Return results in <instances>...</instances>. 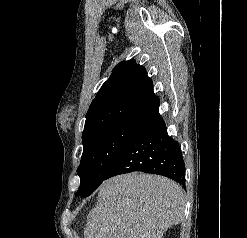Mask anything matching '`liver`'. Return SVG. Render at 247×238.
<instances>
[{"label": "liver", "mask_w": 247, "mask_h": 238, "mask_svg": "<svg viewBox=\"0 0 247 238\" xmlns=\"http://www.w3.org/2000/svg\"><path fill=\"white\" fill-rule=\"evenodd\" d=\"M182 187L162 176L130 173L104 181L84 238H162L184 219Z\"/></svg>", "instance_id": "1"}]
</instances>
